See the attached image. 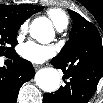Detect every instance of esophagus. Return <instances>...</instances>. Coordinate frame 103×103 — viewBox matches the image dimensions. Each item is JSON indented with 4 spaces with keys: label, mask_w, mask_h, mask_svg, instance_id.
<instances>
[{
    "label": "esophagus",
    "mask_w": 103,
    "mask_h": 103,
    "mask_svg": "<svg viewBox=\"0 0 103 103\" xmlns=\"http://www.w3.org/2000/svg\"><path fill=\"white\" fill-rule=\"evenodd\" d=\"M33 67H34L35 70H38V69H40L42 66H41V65H38V64H34Z\"/></svg>",
    "instance_id": "1"
}]
</instances>
